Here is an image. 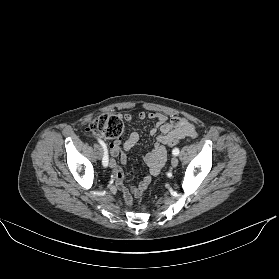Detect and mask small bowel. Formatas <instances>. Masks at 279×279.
Segmentation results:
<instances>
[{"mask_svg": "<svg viewBox=\"0 0 279 279\" xmlns=\"http://www.w3.org/2000/svg\"><path fill=\"white\" fill-rule=\"evenodd\" d=\"M123 120L130 122L135 118L139 120L150 119L155 120V126L150 130L151 135H156V144L154 148L144 155L148 174L143 177L137 186L126 187L124 184V173L120 166L113 167L112 176L117 188L123 193L124 201L130 205L133 197H139L151 182L152 177L159 174L167 159L166 145L172 137L181 139L195 138L197 133L194 125L185 118L172 117L168 119L160 112H144L141 111L136 117L130 113L122 115ZM139 140V134L133 132L129 137L122 142L120 139H115L109 144V151L113 157H119L120 163L125 165L127 162L126 151L132 149Z\"/></svg>", "mask_w": 279, "mask_h": 279, "instance_id": "small-bowel-1", "label": "small bowel"}]
</instances>
